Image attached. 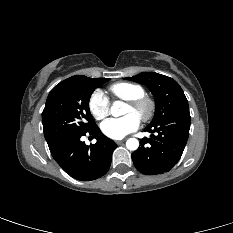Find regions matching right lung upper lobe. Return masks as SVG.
<instances>
[{"label": "right lung upper lobe", "instance_id": "obj_1", "mask_svg": "<svg viewBox=\"0 0 233 233\" xmlns=\"http://www.w3.org/2000/svg\"><path fill=\"white\" fill-rule=\"evenodd\" d=\"M78 77V75H76V76H73V77H70V78H68V79H66V80H64V81H71V80H74V79H76Z\"/></svg>", "mask_w": 233, "mask_h": 233}]
</instances>
